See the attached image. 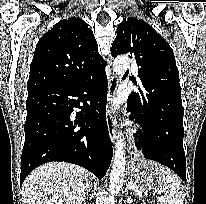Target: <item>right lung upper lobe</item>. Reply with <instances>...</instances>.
<instances>
[{
	"label": "right lung upper lobe",
	"instance_id": "obj_1",
	"mask_svg": "<svg viewBox=\"0 0 206 204\" xmlns=\"http://www.w3.org/2000/svg\"><path fill=\"white\" fill-rule=\"evenodd\" d=\"M103 66L105 62L88 24L75 17L61 20L36 45L28 94L75 85Z\"/></svg>",
	"mask_w": 206,
	"mask_h": 204
}]
</instances>
